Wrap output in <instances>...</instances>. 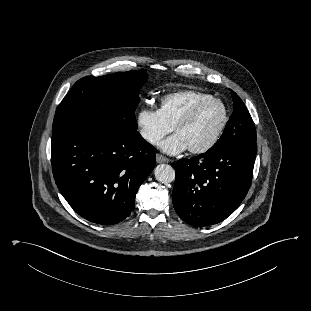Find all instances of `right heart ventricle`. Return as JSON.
<instances>
[{
    "instance_id": "1",
    "label": "right heart ventricle",
    "mask_w": 311,
    "mask_h": 311,
    "mask_svg": "<svg viewBox=\"0 0 311 311\" xmlns=\"http://www.w3.org/2000/svg\"><path fill=\"white\" fill-rule=\"evenodd\" d=\"M211 97L197 91H179L161 99L159 111L163 119L174 128L180 118L197 102Z\"/></svg>"
}]
</instances>
